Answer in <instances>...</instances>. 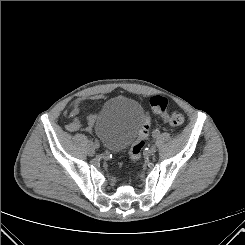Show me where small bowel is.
<instances>
[{
  "mask_svg": "<svg viewBox=\"0 0 245 245\" xmlns=\"http://www.w3.org/2000/svg\"><path fill=\"white\" fill-rule=\"evenodd\" d=\"M105 97L106 96L104 94H96V95L91 96L90 98H83V99H79V100L75 101L71 105V107L67 113L68 118H69V122L66 125V129L71 133L77 132L81 128V123L78 120L77 115L79 114V112H80L81 108L84 106V104L88 100H101V99H104ZM86 122L88 124V131H91L92 126L95 122L94 117L92 115L87 116Z\"/></svg>",
  "mask_w": 245,
  "mask_h": 245,
  "instance_id": "c3829d8e",
  "label": "small bowel"
}]
</instances>
